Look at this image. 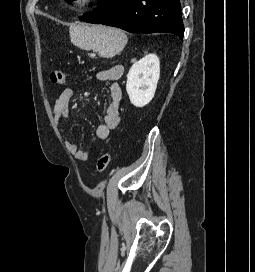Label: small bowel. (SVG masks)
Instances as JSON below:
<instances>
[{
  "mask_svg": "<svg viewBox=\"0 0 255 272\" xmlns=\"http://www.w3.org/2000/svg\"><path fill=\"white\" fill-rule=\"evenodd\" d=\"M123 73L124 68L122 66H115L108 70L100 71L96 75L98 80L110 83V100L106 107L104 121L96 128V135L100 139L109 138L111 132L116 129L120 123L122 90L118 81ZM74 94V89L66 88L55 101L53 116L58 127L62 126L68 119L69 105ZM68 149L76 160L81 162L88 161L89 153L86 150L80 149L77 144L69 142Z\"/></svg>",
  "mask_w": 255,
  "mask_h": 272,
  "instance_id": "1",
  "label": "small bowel"
}]
</instances>
